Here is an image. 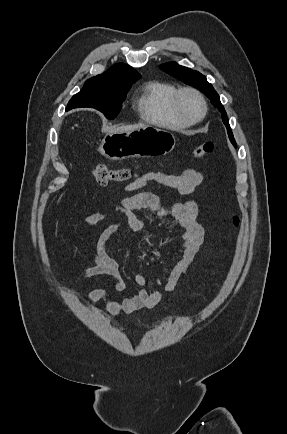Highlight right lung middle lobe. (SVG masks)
Returning <instances> with one entry per match:
<instances>
[{"instance_id": "obj_1", "label": "right lung middle lobe", "mask_w": 287, "mask_h": 434, "mask_svg": "<svg viewBox=\"0 0 287 434\" xmlns=\"http://www.w3.org/2000/svg\"><path fill=\"white\" fill-rule=\"evenodd\" d=\"M134 82L87 80L83 89L71 98L67 110L91 107L101 111L106 118L113 119L120 112L126 94Z\"/></svg>"}]
</instances>
